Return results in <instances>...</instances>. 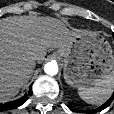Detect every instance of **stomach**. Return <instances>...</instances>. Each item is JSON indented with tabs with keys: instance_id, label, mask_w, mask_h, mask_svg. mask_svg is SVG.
<instances>
[{
	"instance_id": "1",
	"label": "stomach",
	"mask_w": 114,
	"mask_h": 114,
	"mask_svg": "<svg viewBox=\"0 0 114 114\" xmlns=\"http://www.w3.org/2000/svg\"><path fill=\"white\" fill-rule=\"evenodd\" d=\"M55 55L63 60L65 81L75 88L95 85L114 71L111 45L95 33H82Z\"/></svg>"
}]
</instances>
